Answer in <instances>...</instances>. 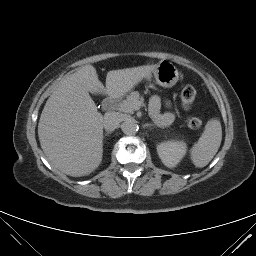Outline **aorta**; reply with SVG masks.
<instances>
[{"mask_svg":"<svg viewBox=\"0 0 256 256\" xmlns=\"http://www.w3.org/2000/svg\"><path fill=\"white\" fill-rule=\"evenodd\" d=\"M120 127L122 132L126 135H133L138 130L137 124L132 120H125Z\"/></svg>","mask_w":256,"mask_h":256,"instance_id":"obj_1","label":"aorta"}]
</instances>
